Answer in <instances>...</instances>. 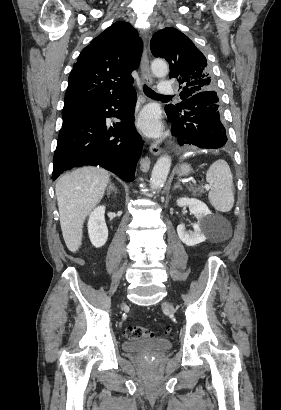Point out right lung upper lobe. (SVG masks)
I'll return each instance as SVG.
<instances>
[{"instance_id":"cb5924a9","label":"right lung upper lobe","mask_w":281,"mask_h":410,"mask_svg":"<svg viewBox=\"0 0 281 410\" xmlns=\"http://www.w3.org/2000/svg\"><path fill=\"white\" fill-rule=\"evenodd\" d=\"M143 44L131 24L118 21L94 38L70 72L64 108L93 107L129 91Z\"/></svg>"}]
</instances>
